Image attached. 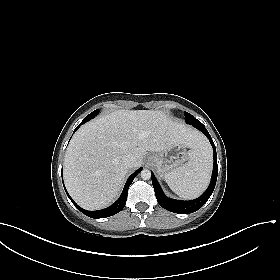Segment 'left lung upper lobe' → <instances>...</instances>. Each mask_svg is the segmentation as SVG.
Wrapping results in <instances>:
<instances>
[{"instance_id":"5c2ea615","label":"left lung upper lobe","mask_w":280,"mask_h":280,"mask_svg":"<svg viewBox=\"0 0 280 280\" xmlns=\"http://www.w3.org/2000/svg\"><path fill=\"white\" fill-rule=\"evenodd\" d=\"M184 115H185V121L188 124L194 125L197 123H201L199 120H197L196 118H194L191 114H189L187 112H184Z\"/></svg>"}]
</instances>
